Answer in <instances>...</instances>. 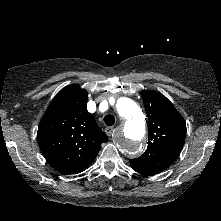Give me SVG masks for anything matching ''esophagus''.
I'll return each instance as SVG.
<instances>
[{
  "instance_id": "34e87169",
  "label": "esophagus",
  "mask_w": 221,
  "mask_h": 221,
  "mask_svg": "<svg viewBox=\"0 0 221 221\" xmlns=\"http://www.w3.org/2000/svg\"><path fill=\"white\" fill-rule=\"evenodd\" d=\"M113 131H114V127H112V126L106 127V129H105V132L108 136H111Z\"/></svg>"
}]
</instances>
